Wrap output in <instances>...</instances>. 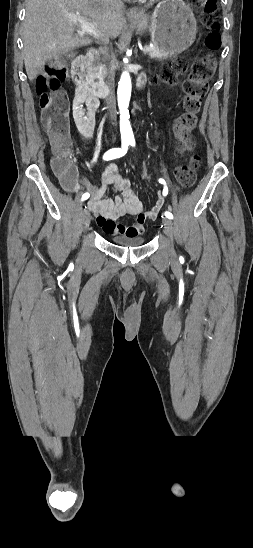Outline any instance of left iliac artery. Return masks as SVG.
Segmentation results:
<instances>
[{
    "label": "left iliac artery",
    "instance_id": "44dca946",
    "mask_svg": "<svg viewBox=\"0 0 253 548\" xmlns=\"http://www.w3.org/2000/svg\"><path fill=\"white\" fill-rule=\"evenodd\" d=\"M129 143H130L132 146H135V140H134V139H131V140L129 141ZM159 183H161V184H163V185L166 184V182H165L164 179H159ZM167 194H168V189H167V187H165V188H164V191H163V195H167ZM164 215H165L167 218H169V219H173V215H172L171 212L166 211V212L164 213Z\"/></svg>",
    "mask_w": 253,
    "mask_h": 548
}]
</instances>
